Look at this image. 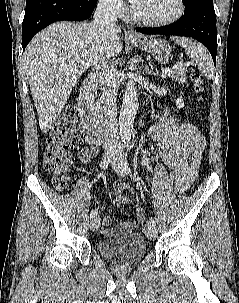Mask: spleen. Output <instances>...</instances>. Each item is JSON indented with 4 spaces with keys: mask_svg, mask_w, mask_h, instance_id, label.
Masks as SVG:
<instances>
[{
    "mask_svg": "<svg viewBox=\"0 0 239 303\" xmlns=\"http://www.w3.org/2000/svg\"><path fill=\"white\" fill-rule=\"evenodd\" d=\"M171 39L185 49L186 54L196 62L203 75L208 79L213 77V61L204 46L184 37H171Z\"/></svg>",
    "mask_w": 239,
    "mask_h": 303,
    "instance_id": "1",
    "label": "spleen"
}]
</instances>
